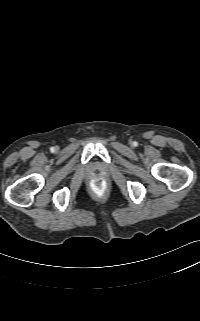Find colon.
I'll list each match as a JSON object with an SVG mask.
<instances>
[{"label":"colon","mask_w":200,"mask_h":321,"mask_svg":"<svg viewBox=\"0 0 200 321\" xmlns=\"http://www.w3.org/2000/svg\"><path fill=\"white\" fill-rule=\"evenodd\" d=\"M92 187L95 191L101 192L104 189V181L102 179H96L93 181Z\"/></svg>","instance_id":"colon-1"}]
</instances>
